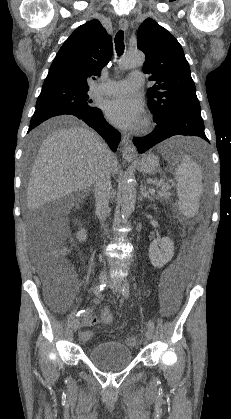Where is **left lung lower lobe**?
<instances>
[{"instance_id":"0a47b994","label":"left lung lower lobe","mask_w":231,"mask_h":419,"mask_svg":"<svg viewBox=\"0 0 231 419\" xmlns=\"http://www.w3.org/2000/svg\"><path fill=\"white\" fill-rule=\"evenodd\" d=\"M156 127L152 133L143 138H135L134 145L143 153L155 144L175 135L197 136L209 143L205 132L200 110H184L165 118L154 117Z\"/></svg>"}]
</instances>
